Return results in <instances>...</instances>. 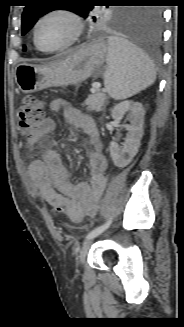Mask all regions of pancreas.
Returning <instances> with one entry per match:
<instances>
[{
  "instance_id": "1",
  "label": "pancreas",
  "mask_w": 184,
  "mask_h": 327,
  "mask_svg": "<svg viewBox=\"0 0 184 327\" xmlns=\"http://www.w3.org/2000/svg\"><path fill=\"white\" fill-rule=\"evenodd\" d=\"M106 94L103 91L95 90L92 94L88 96L84 104L87 105L89 111H102L106 102Z\"/></svg>"
}]
</instances>
